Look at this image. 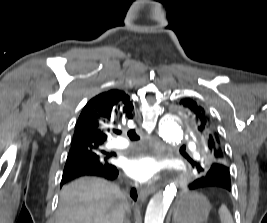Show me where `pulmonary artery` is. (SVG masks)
Returning a JSON list of instances; mask_svg holds the SVG:
<instances>
[{
	"label": "pulmonary artery",
	"mask_w": 267,
	"mask_h": 223,
	"mask_svg": "<svg viewBox=\"0 0 267 223\" xmlns=\"http://www.w3.org/2000/svg\"><path fill=\"white\" fill-rule=\"evenodd\" d=\"M128 146L129 142L124 138L117 139L113 142V147L117 149H125Z\"/></svg>",
	"instance_id": "e3ab8cb5"
}]
</instances>
